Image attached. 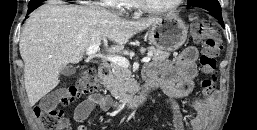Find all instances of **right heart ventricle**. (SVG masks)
Returning a JSON list of instances; mask_svg holds the SVG:
<instances>
[{
    "mask_svg": "<svg viewBox=\"0 0 257 130\" xmlns=\"http://www.w3.org/2000/svg\"><path fill=\"white\" fill-rule=\"evenodd\" d=\"M134 5H135L134 0H129L128 1V4H127L128 7H133Z\"/></svg>",
    "mask_w": 257,
    "mask_h": 130,
    "instance_id": "right-heart-ventricle-1",
    "label": "right heart ventricle"
}]
</instances>
